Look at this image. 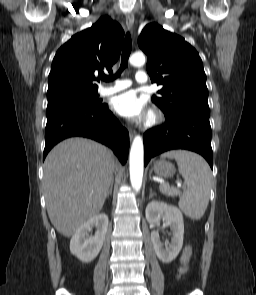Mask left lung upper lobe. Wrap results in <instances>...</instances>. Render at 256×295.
Wrapping results in <instances>:
<instances>
[{"label":"left lung upper lobe","mask_w":256,"mask_h":295,"mask_svg":"<svg viewBox=\"0 0 256 295\" xmlns=\"http://www.w3.org/2000/svg\"><path fill=\"white\" fill-rule=\"evenodd\" d=\"M138 44L148 56L147 72L151 81L163 85L152 101L165 118L183 112L209 117L206 75L197 51L157 23L143 28Z\"/></svg>","instance_id":"obj_1"}]
</instances>
